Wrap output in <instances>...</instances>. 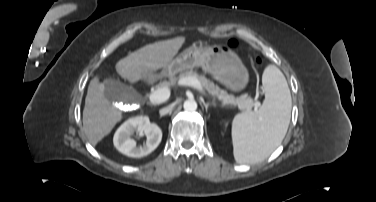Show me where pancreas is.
I'll return each mask as SVG.
<instances>
[{
	"mask_svg": "<svg viewBox=\"0 0 376 202\" xmlns=\"http://www.w3.org/2000/svg\"><path fill=\"white\" fill-rule=\"evenodd\" d=\"M193 77L197 79L202 87L223 104H230L233 106H238L241 110H251L257 105V101L252 100L251 98L241 95L240 97H235L234 95L228 94L226 91L222 90L219 86L215 85L213 82L206 79L203 75H198L196 72L189 70L182 73L178 78H171L169 81H162L159 84V88H164L168 86H174L177 82H180L183 78Z\"/></svg>",
	"mask_w": 376,
	"mask_h": 202,
	"instance_id": "1",
	"label": "pancreas"
}]
</instances>
